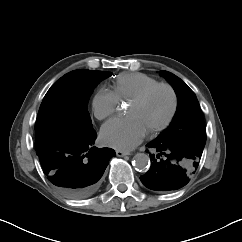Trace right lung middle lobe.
<instances>
[{"label": "right lung middle lobe", "mask_w": 242, "mask_h": 242, "mask_svg": "<svg viewBox=\"0 0 242 242\" xmlns=\"http://www.w3.org/2000/svg\"><path fill=\"white\" fill-rule=\"evenodd\" d=\"M110 72L74 70L61 77L46 93L36 119L35 138L54 130L85 132L93 129L87 104L97 84Z\"/></svg>", "instance_id": "dd1d6c3e"}]
</instances>
